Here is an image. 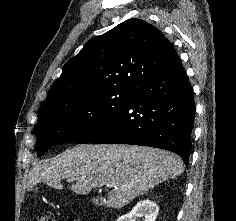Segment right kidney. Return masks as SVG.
Wrapping results in <instances>:
<instances>
[{
    "label": "right kidney",
    "instance_id": "obj_1",
    "mask_svg": "<svg viewBox=\"0 0 236 221\" xmlns=\"http://www.w3.org/2000/svg\"><path fill=\"white\" fill-rule=\"evenodd\" d=\"M159 207L151 200H142L136 204L131 212L117 219V221H136L140 218L143 221H156Z\"/></svg>",
    "mask_w": 236,
    "mask_h": 221
}]
</instances>
